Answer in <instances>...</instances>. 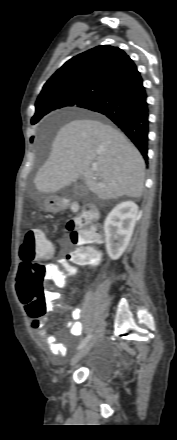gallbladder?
<instances>
[{
  "label": "gallbladder",
  "mask_w": 177,
  "mask_h": 440,
  "mask_svg": "<svg viewBox=\"0 0 177 440\" xmlns=\"http://www.w3.org/2000/svg\"><path fill=\"white\" fill-rule=\"evenodd\" d=\"M84 190H85V187L83 185H77L75 187V192L78 193V194L82 193Z\"/></svg>",
  "instance_id": "gallbladder-1"
}]
</instances>
